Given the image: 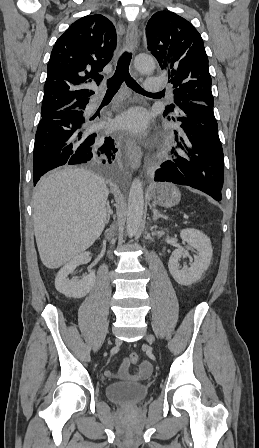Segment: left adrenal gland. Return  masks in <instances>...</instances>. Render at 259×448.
Masks as SVG:
<instances>
[{"mask_svg":"<svg viewBox=\"0 0 259 448\" xmlns=\"http://www.w3.org/2000/svg\"><path fill=\"white\" fill-rule=\"evenodd\" d=\"M153 212V220L154 222H156V220H158V218H164V220H168V216H164V214H160V212H157V210H152Z\"/></svg>","mask_w":259,"mask_h":448,"instance_id":"left-adrenal-gland-1","label":"left adrenal gland"}]
</instances>
